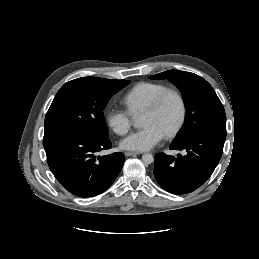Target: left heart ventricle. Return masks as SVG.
<instances>
[{
	"label": "left heart ventricle",
	"instance_id": "1",
	"mask_svg": "<svg viewBox=\"0 0 259 259\" xmlns=\"http://www.w3.org/2000/svg\"><path fill=\"white\" fill-rule=\"evenodd\" d=\"M179 116V104L175 97L170 96L157 113H144L142 125H154L164 134L169 131L177 122Z\"/></svg>",
	"mask_w": 259,
	"mask_h": 259
}]
</instances>
